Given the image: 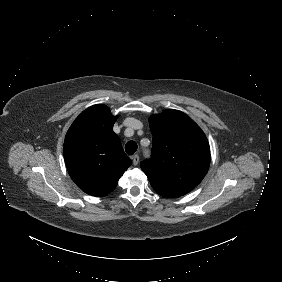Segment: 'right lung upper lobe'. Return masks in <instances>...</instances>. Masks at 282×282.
Returning <instances> with one entry per match:
<instances>
[{
  "instance_id": "obj_1",
  "label": "right lung upper lobe",
  "mask_w": 282,
  "mask_h": 282,
  "mask_svg": "<svg viewBox=\"0 0 282 282\" xmlns=\"http://www.w3.org/2000/svg\"><path fill=\"white\" fill-rule=\"evenodd\" d=\"M117 118L107 106L93 105L75 119L66 134L63 153L67 170L87 194L108 195L132 163L113 131Z\"/></svg>"
}]
</instances>
